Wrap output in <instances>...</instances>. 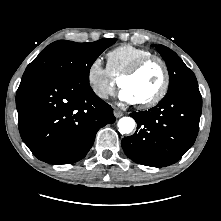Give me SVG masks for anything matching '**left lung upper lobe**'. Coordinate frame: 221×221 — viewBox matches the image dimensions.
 <instances>
[{
    "label": "left lung upper lobe",
    "instance_id": "5c2ea615",
    "mask_svg": "<svg viewBox=\"0 0 221 221\" xmlns=\"http://www.w3.org/2000/svg\"><path fill=\"white\" fill-rule=\"evenodd\" d=\"M166 62L169 71L168 93L186 86H198L194 73L184 64L181 58L171 49L163 46H156Z\"/></svg>",
    "mask_w": 221,
    "mask_h": 221
}]
</instances>
